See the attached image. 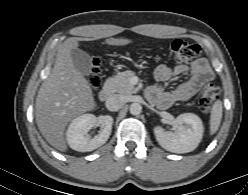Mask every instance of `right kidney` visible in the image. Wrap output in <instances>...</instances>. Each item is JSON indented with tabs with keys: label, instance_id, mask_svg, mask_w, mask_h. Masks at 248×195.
I'll return each instance as SVG.
<instances>
[{
	"label": "right kidney",
	"instance_id": "right-kidney-1",
	"mask_svg": "<svg viewBox=\"0 0 248 195\" xmlns=\"http://www.w3.org/2000/svg\"><path fill=\"white\" fill-rule=\"evenodd\" d=\"M113 118L111 116L96 117L93 114H83L74 118L66 131L67 142L73 150L79 152L93 151L108 140L112 130ZM99 126V134L90 138L87 133L94 127Z\"/></svg>",
	"mask_w": 248,
	"mask_h": 195
}]
</instances>
